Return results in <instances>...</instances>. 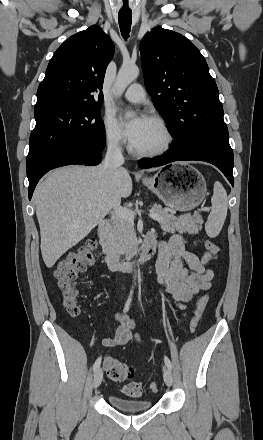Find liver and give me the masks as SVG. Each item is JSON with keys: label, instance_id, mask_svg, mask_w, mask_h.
Instances as JSON below:
<instances>
[{"label": "liver", "instance_id": "1", "mask_svg": "<svg viewBox=\"0 0 263 440\" xmlns=\"http://www.w3.org/2000/svg\"><path fill=\"white\" fill-rule=\"evenodd\" d=\"M132 186L125 169H121L113 180L103 164L68 166L50 172L33 194L45 265L53 267L65 252L104 219L110 209L119 206L113 195L129 197Z\"/></svg>", "mask_w": 263, "mask_h": 440}]
</instances>
